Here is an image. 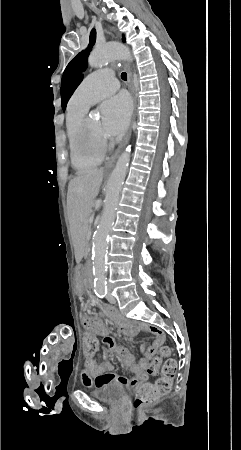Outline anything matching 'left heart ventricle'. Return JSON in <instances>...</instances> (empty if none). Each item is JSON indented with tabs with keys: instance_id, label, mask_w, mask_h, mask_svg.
<instances>
[{
	"instance_id": "1",
	"label": "left heart ventricle",
	"mask_w": 241,
	"mask_h": 450,
	"mask_svg": "<svg viewBox=\"0 0 241 450\" xmlns=\"http://www.w3.org/2000/svg\"><path fill=\"white\" fill-rule=\"evenodd\" d=\"M91 128L93 129L92 131H95V130H98L99 131V134H97L96 132H91L89 135H88V138L91 140V141H96L97 139H98V136L101 138L102 136H107V131H106V128H105V126H103V125H100V123L98 122V121H93L92 123H91ZM97 144V146L99 145V144H101V143H96ZM90 145H92V144H90ZM83 149L85 150V151H88L89 149H90V146L88 145V144H85L84 146H83ZM101 150V152H103V151H105L106 149H104V148H102V149H100Z\"/></svg>"
}]
</instances>
